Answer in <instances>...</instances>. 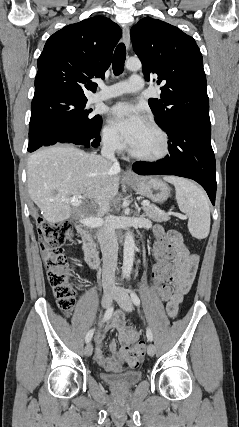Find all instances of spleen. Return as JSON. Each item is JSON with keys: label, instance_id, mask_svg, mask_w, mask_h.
Instances as JSON below:
<instances>
[{"label": "spleen", "instance_id": "1", "mask_svg": "<svg viewBox=\"0 0 239 427\" xmlns=\"http://www.w3.org/2000/svg\"><path fill=\"white\" fill-rule=\"evenodd\" d=\"M164 180L173 184L180 210L188 217V229L197 239H204L210 231V209L205 192L194 182L176 176Z\"/></svg>", "mask_w": 239, "mask_h": 427}]
</instances>
